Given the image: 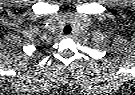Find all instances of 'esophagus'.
I'll list each match as a JSON object with an SVG mask.
<instances>
[{
  "instance_id": "esophagus-1",
  "label": "esophagus",
  "mask_w": 135,
  "mask_h": 95,
  "mask_svg": "<svg viewBox=\"0 0 135 95\" xmlns=\"http://www.w3.org/2000/svg\"><path fill=\"white\" fill-rule=\"evenodd\" d=\"M65 38H69V39H71V38H73L74 37V34L72 33V34H68V35H65L64 36Z\"/></svg>"
}]
</instances>
